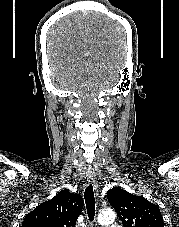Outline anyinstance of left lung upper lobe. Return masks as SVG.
<instances>
[{"label": "left lung upper lobe", "instance_id": "obj_1", "mask_svg": "<svg viewBox=\"0 0 179 227\" xmlns=\"http://www.w3.org/2000/svg\"><path fill=\"white\" fill-rule=\"evenodd\" d=\"M107 198L125 227H164L160 209L144 197L115 187Z\"/></svg>", "mask_w": 179, "mask_h": 227}]
</instances>
